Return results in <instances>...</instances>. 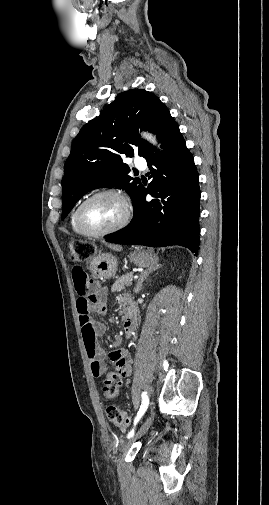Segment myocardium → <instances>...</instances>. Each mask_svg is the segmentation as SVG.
Returning a JSON list of instances; mask_svg holds the SVG:
<instances>
[{
    "label": "myocardium",
    "mask_w": 269,
    "mask_h": 505,
    "mask_svg": "<svg viewBox=\"0 0 269 505\" xmlns=\"http://www.w3.org/2000/svg\"><path fill=\"white\" fill-rule=\"evenodd\" d=\"M103 196H113V197H116L119 200H121V202L124 205V216L116 225H114L108 229H105V230L90 229L83 222V219H82L83 211H84L85 207L91 201H93L99 197H103ZM131 217H132V206H131V203H130L129 199L127 198V196L124 193H122L121 191L116 190V189H104V190H100V191L93 193L92 195H90L84 201L81 202V204L77 208L75 219H76V224H77L78 228L84 233V235H87L90 237H103V236L110 235V234H113L115 232L122 230L124 227H126L128 225V223L131 220Z\"/></svg>",
    "instance_id": "obj_1"
}]
</instances>
